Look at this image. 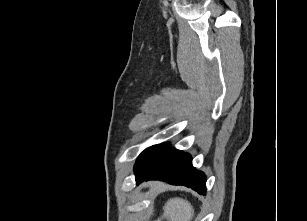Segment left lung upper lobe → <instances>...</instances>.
Here are the masks:
<instances>
[{"instance_id":"5c2ea615","label":"left lung upper lobe","mask_w":307,"mask_h":221,"mask_svg":"<svg viewBox=\"0 0 307 221\" xmlns=\"http://www.w3.org/2000/svg\"><path fill=\"white\" fill-rule=\"evenodd\" d=\"M169 147H170L169 144H161V145H154L144 150L138 157L136 164L134 166L135 175H137L146 167H148Z\"/></svg>"}]
</instances>
